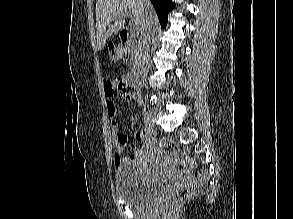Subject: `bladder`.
I'll use <instances>...</instances> for the list:
<instances>
[{"label": "bladder", "instance_id": "obj_1", "mask_svg": "<svg viewBox=\"0 0 293 219\" xmlns=\"http://www.w3.org/2000/svg\"><path fill=\"white\" fill-rule=\"evenodd\" d=\"M168 181L164 178H149L139 167L124 165L114 173L117 196L130 206H144L161 193Z\"/></svg>", "mask_w": 293, "mask_h": 219}]
</instances>
